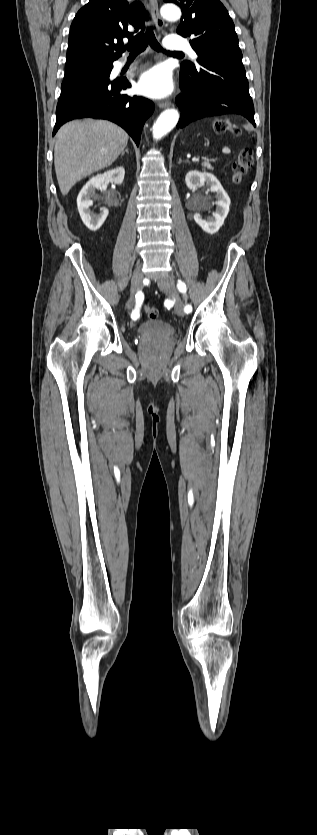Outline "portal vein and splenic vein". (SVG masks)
<instances>
[{
    "label": "portal vein and splenic vein",
    "instance_id": "1",
    "mask_svg": "<svg viewBox=\"0 0 317 835\" xmlns=\"http://www.w3.org/2000/svg\"><path fill=\"white\" fill-rule=\"evenodd\" d=\"M192 160H193V161H197V160H198V158H193Z\"/></svg>",
    "mask_w": 317,
    "mask_h": 835
}]
</instances>
